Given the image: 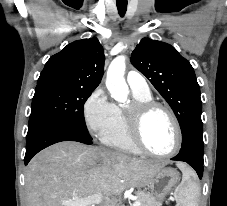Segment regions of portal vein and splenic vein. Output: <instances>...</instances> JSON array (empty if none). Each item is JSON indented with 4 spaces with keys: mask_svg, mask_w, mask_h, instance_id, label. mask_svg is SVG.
I'll list each match as a JSON object with an SVG mask.
<instances>
[{
    "mask_svg": "<svg viewBox=\"0 0 227 206\" xmlns=\"http://www.w3.org/2000/svg\"><path fill=\"white\" fill-rule=\"evenodd\" d=\"M101 202H102V195H101V193H97V194L91 195L85 199L66 202L65 204H66V206H91L92 204L101 203ZM131 206H141V204H140V202L136 201Z\"/></svg>",
    "mask_w": 227,
    "mask_h": 206,
    "instance_id": "portal-vein-and-splenic-vein-1",
    "label": "portal vein and splenic vein"
}]
</instances>
